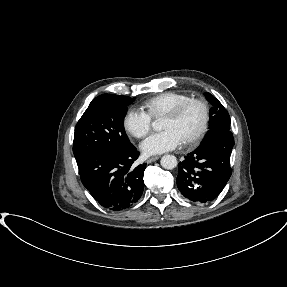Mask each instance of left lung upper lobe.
<instances>
[{
    "label": "left lung upper lobe",
    "mask_w": 287,
    "mask_h": 287,
    "mask_svg": "<svg viewBox=\"0 0 287 287\" xmlns=\"http://www.w3.org/2000/svg\"><path fill=\"white\" fill-rule=\"evenodd\" d=\"M205 96L213 107L210 109L209 131L200 146H205L224 133L230 132V116L227 110L210 93H206Z\"/></svg>",
    "instance_id": "left-lung-upper-lobe-1"
}]
</instances>
